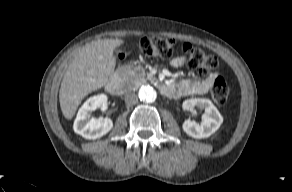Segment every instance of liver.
Returning a JSON list of instances; mask_svg holds the SVG:
<instances>
[{
	"label": "liver",
	"mask_w": 292,
	"mask_h": 192,
	"mask_svg": "<svg viewBox=\"0 0 292 192\" xmlns=\"http://www.w3.org/2000/svg\"><path fill=\"white\" fill-rule=\"evenodd\" d=\"M122 39L93 41L82 47L68 66L59 91L61 111L72 119L82 100L91 92L105 86L114 72V50Z\"/></svg>",
	"instance_id": "1"
}]
</instances>
